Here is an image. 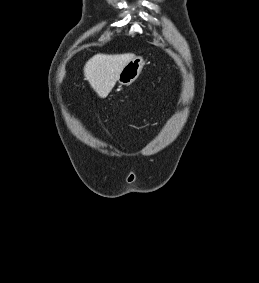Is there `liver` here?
Masks as SVG:
<instances>
[{
    "label": "liver",
    "instance_id": "1",
    "mask_svg": "<svg viewBox=\"0 0 259 283\" xmlns=\"http://www.w3.org/2000/svg\"><path fill=\"white\" fill-rule=\"evenodd\" d=\"M133 58L132 53L94 55L84 66L85 80L100 98H105L115 86L121 70Z\"/></svg>",
    "mask_w": 259,
    "mask_h": 283
}]
</instances>
